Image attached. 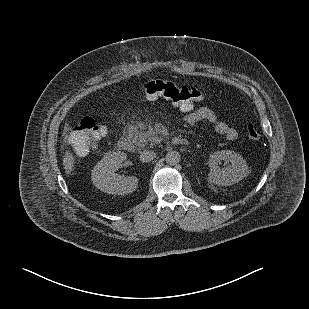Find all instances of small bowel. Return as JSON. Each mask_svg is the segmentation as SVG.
Listing matches in <instances>:
<instances>
[{
	"label": "small bowel",
	"mask_w": 309,
	"mask_h": 309,
	"mask_svg": "<svg viewBox=\"0 0 309 309\" xmlns=\"http://www.w3.org/2000/svg\"><path fill=\"white\" fill-rule=\"evenodd\" d=\"M149 100H153L149 98ZM173 106L179 109L180 112L185 114L184 122L189 125H194L198 122H208L213 124L214 130L221 135H224L228 140H235L238 136L237 131L227 125L226 123L219 121L215 115V113L207 108V107H200L194 110V106H186L180 103H173ZM95 144H88L81 148L83 154L87 153L88 150L93 147Z\"/></svg>",
	"instance_id": "c3829d8e"
}]
</instances>
